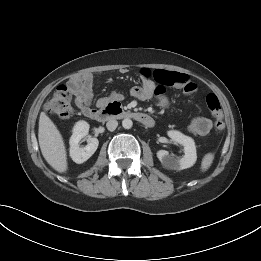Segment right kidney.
<instances>
[{"label": "right kidney", "mask_w": 261, "mask_h": 261, "mask_svg": "<svg viewBox=\"0 0 261 261\" xmlns=\"http://www.w3.org/2000/svg\"><path fill=\"white\" fill-rule=\"evenodd\" d=\"M89 124L86 121H78L74 128L70 138V156L72 160L81 164L87 161L97 150L99 141L95 137L88 136ZM87 138L88 144L85 147H80V141Z\"/></svg>", "instance_id": "ca27d5eb"}]
</instances>
